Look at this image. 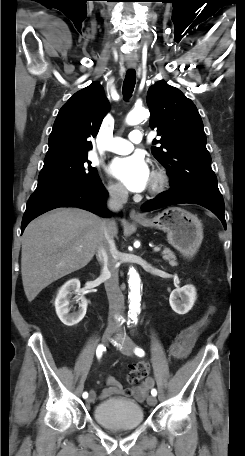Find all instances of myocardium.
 <instances>
[{
  "label": "myocardium",
  "instance_id": "f54148a6",
  "mask_svg": "<svg viewBox=\"0 0 245 456\" xmlns=\"http://www.w3.org/2000/svg\"><path fill=\"white\" fill-rule=\"evenodd\" d=\"M169 184V176L165 169L155 168L151 174V182L149 192L151 194H158L165 190Z\"/></svg>",
  "mask_w": 245,
  "mask_h": 456
}]
</instances>
